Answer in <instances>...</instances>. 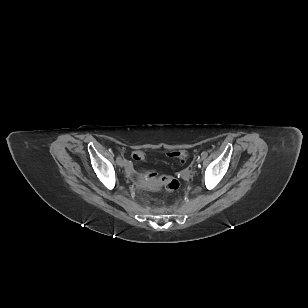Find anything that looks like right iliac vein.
I'll list each match as a JSON object with an SVG mask.
<instances>
[{"label":"right iliac vein","mask_w":308,"mask_h":308,"mask_svg":"<svg viewBox=\"0 0 308 308\" xmlns=\"http://www.w3.org/2000/svg\"><path fill=\"white\" fill-rule=\"evenodd\" d=\"M118 165H119L120 167H124V166H126V161L123 160V159H121V160L118 162Z\"/></svg>","instance_id":"obj_1"}]
</instances>
